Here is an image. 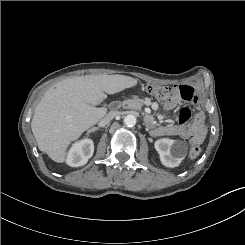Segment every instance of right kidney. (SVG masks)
<instances>
[{"label":"right kidney","mask_w":245,"mask_h":245,"mask_svg":"<svg viewBox=\"0 0 245 245\" xmlns=\"http://www.w3.org/2000/svg\"><path fill=\"white\" fill-rule=\"evenodd\" d=\"M94 143L91 139L85 138L74 143L69 150L66 163L72 167L83 166L93 156Z\"/></svg>","instance_id":"obj_1"}]
</instances>
